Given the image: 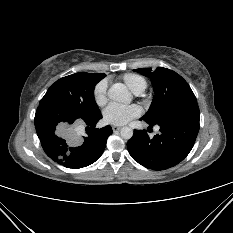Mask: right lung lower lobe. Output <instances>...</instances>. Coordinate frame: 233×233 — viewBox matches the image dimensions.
I'll use <instances>...</instances> for the list:
<instances>
[{
  "mask_svg": "<svg viewBox=\"0 0 233 233\" xmlns=\"http://www.w3.org/2000/svg\"><path fill=\"white\" fill-rule=\"evenodd\" d=\"M101 118L99 113L92 118L82 119L93 130L80 139L71 126L81 119L67 116L49 105H42L35 114V127L45 153L58 164L77 169L94 163L105 149L112 128L107 125L95 129Z\"/></svg>",
  "mask_w": 233,
  "mask_h": 233,
  "instance_id": "1",
  "label": "right lung lower lobe"
}]
</instances>
